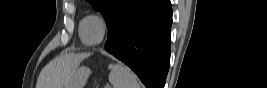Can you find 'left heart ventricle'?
<instances>
[{"mask_svg": "<svg viewBox=\"0 0 267 88\" xmlns=\"http://www.w3.org/2000/svg\"><path fill=\"white\" fill-rule=\"evenodd\" d=\"M101 36V26L95 19H89L85 24V37L88 42H95Z\"/></svg>", "mask_w": 267, "mask_h": 88, "instance_id": "1", "label": "left heart ventricle"}]
</instances>
